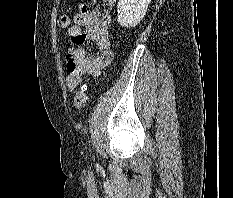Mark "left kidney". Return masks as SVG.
I'll return each mask as SVG.
<instances>
[{
  "label": "left kidney",
  "instance_id": "obj_1",
  "mask_svg": "<svg viewBox=\"0 0 233 198\" xmlns=\"http://www.w3.org/2000/svg\"><path fill=\"white\" fill-rule=\"evenodd\" d=\"M151 0H118V23L122 27H135L144 18Z\"/></svg>",
  "mask_w": 233,
  "mask_h": 198
}]
</instances>
